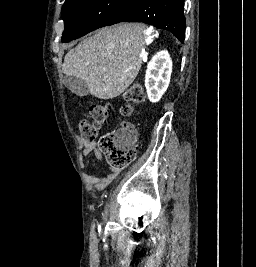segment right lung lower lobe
<instances>
[{"instance_id":"98d812e1","label":"right lung lower lobe","mask_w":256,"mask_h":267,"mask_svg":"<svg viewBox=\"0 0 256 267\" xmlns=\"http://www.w3.org/2000/svg\"><path fill=\"white\" fill-rule=\"evenodd\" d=\"M119 22H144L170 31L183 43L185 38L184 0H138L125 15L106 26Z\"/></svg>"}]
</instances>
